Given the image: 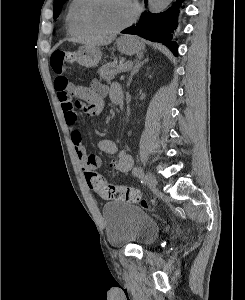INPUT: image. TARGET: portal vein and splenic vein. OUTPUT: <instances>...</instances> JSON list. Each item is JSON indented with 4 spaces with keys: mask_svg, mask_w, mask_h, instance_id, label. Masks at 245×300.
<instances>
[{
    "mask_svg": "<svg viewBox=\"0 0 245 300\" xmlns=\"http://www.w3.org/2000/svg\"><path fill=\"white\" fill-rule=\"evenodd\" d=\"M131 65H132V62H128V63H125L124 65H121L118 68L117 73H121V72L127 71Z\"/></svg>",
    "mask_w": 245,
    "mask_h": 300,
    "instance_id": "1",
    "label": "portal vein and splenic vein"
}]
</instances>
